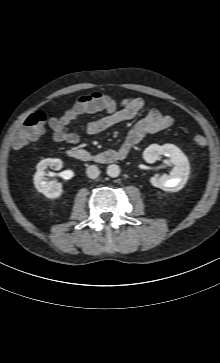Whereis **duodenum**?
I'll list each match as a JSON object with an SVG mask.
<instances>
[{"mask_svg":"<svg viewBox=\"0 0 220 363\" xmlns=\"http://www.w3.org/2000/svg\"><path fill=\"white\" fill-rule=\"evenodd\" d=\"M129 149L121 147L118 150H106L100 153H91L84 149H70L67 151L69 157L82 162H93L98 164H112L124 160Z\"/></svg>","mask_w":220,"mask_h":363,"instance_id":"1","label":"duodenum"}]
</instances>
